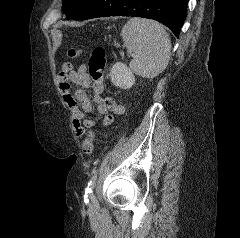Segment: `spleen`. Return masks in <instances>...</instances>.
Instances as JSON below:
<instances>
[{
	"mask_svg": "<svg viewBox=\"0 0 240 238\" xmlns=\"http://www.w3.org/2000/svg\"><path fill=\"white\" fill-rule=\"evenodd\" d=\"M121 36L128 52L134 53L130 68L135 73L154 78L167 67L171 41L162 25L149 19L131 18Z\"/></svg>",
	"mask_w": 240,
	"mask_h": 238,
	"instance_id": "spleen-1",
	"label": "spleen"
}]
</instances>
